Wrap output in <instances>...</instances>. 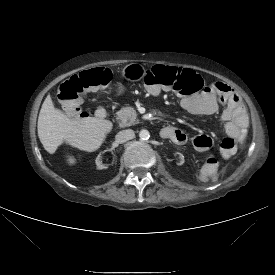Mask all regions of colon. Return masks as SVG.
Instances as JSON below:
<instances>
[{"label":"colon","mask_w":275,"mask_h":275,"mask_svg":"<svg viewBox=\"0 0 275 275\" xmlns=\"http://www.w3.org/2000/svg\"><path fill=\"white\" fill-rule=\"evenodd\" d=\"M111 79L112 73L105 67L82 71L60 85L58 97L70 105L75 117H82L79 107L81 98L94 89L108 85ZM145 82L147 92L154 97L161 95L163 89L189 95L199 92L204 86L200 76L192 70L161 65L147 72ZM238 147V142L231 137L223 139L220 144L221 153L226 158L235 155Z\"/></svg>","instance_id":"1"}]
</instances>
